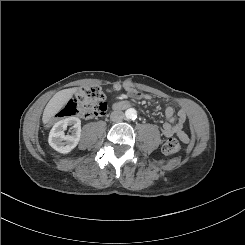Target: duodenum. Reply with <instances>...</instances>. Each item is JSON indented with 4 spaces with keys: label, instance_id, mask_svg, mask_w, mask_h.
<instances>
[{
    "label": "duodenum",
    "instance_id": "1",
    "mask_svg": "<svg viewBox=\"0 0 245 245\" xmlns=\"http://www.w3.org/2000/svg\"><path fill=\"white\" fill-rule=\"evenodd\" d=\"M131 105L130 103H122V104H117L115 105V108L116 109H126V108H129Z\"/></svg>",
    "mask_w": 245,
    "mask_h": 245
}]
</instances>
